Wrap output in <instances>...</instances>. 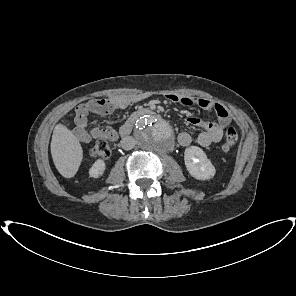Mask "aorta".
Here are the masks:
<instances>
[{"mask_svg": "<svg viewBox=\"0 0 296 296\" xmlns=\"http://www.w3.org/2000/svg\"><path fill=\"white\" fill-rule=\"evenodd\" d=\"M136 141L146 151L157 154L166 153L174 145L172 127L156 116L145 115L137 123Z\"/></svg>", "mask_w": 296, "mask_h": 296, "instance_id": "aorta-1", "label": "aorta"}]
</instances>
